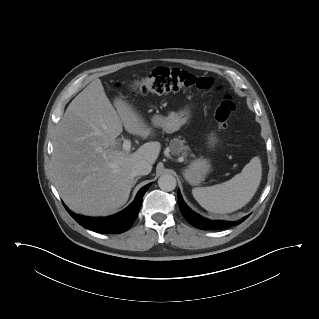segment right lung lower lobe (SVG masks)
<instances>
[{"mask_svg": "<svg viewBox=\"0 0 319 319\" xmlns=\"http://www.w3.org/2000/svg\"><path fill=\"white\" fill-rule=\"evenodd\" d=\"M150 185L151 183L142 187L137 193L134 201L127 208L110 217H84L74 214L66 206L65 208L69 214L84 228L104 234L122 233L127 231L134 223L141 207L142 198Z\"/></svg>", "mask_w": 319, "mask_h": 319, "instance_id": "obj_1", "label": "right lung lower lobe"}]
</instances>
